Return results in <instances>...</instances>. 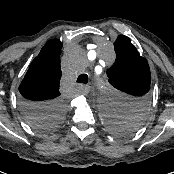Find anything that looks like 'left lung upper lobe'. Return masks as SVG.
I'll return each instance as SVG.
<instances>
[{
	"mask_svg": "<svg viewBox=\"0 0 174 174\" xmlns=\"http://www.w3.org/2000/svg\"><path fill=\"white\" fill-rule=\"evenodd\" d=\"M114 49L116 61L107 71L109 82L115 88L133 95L134 99L123 116L110 115L108 120L115 134L127 135L135 131L145 117L151 74L146 59L140 56L128 37L119 35Z\"/></svg>",
	"mask_w": 174,
	"mask_h": 174,
	"instance_id": "left-lung-upper-lobe-1",
	"label": "left lung upper lobe"
}]
</instances>
